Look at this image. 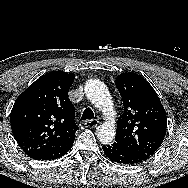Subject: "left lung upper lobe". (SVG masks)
<instances>
[{"instance_id": "5c2ea615", "label": "left lung upper lobe", "mask_w": 188, "mask_h": 188, "mask_svg": "<svg viewBox=\"0 0 188 188\" xmlns=\"http://www.w3.org/2000/svg\"><path fill=\"white\" fill-rule=\"evenodd\" d=\"M116 87L124 112L118 119L114 143L149 158L161 146L166 134L167 116L163 105L153 87L138 74H120Z\"/></svg>"}]
</instances>
